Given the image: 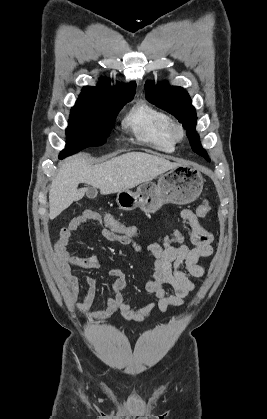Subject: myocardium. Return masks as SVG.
<instances>
[{"label":"myocardium","mask_w":267,"mask_h":419,"mask_svg":"<svg viewBox=\"0 0 267 419\" xmlns=\"http://www.w3.org/2000/svg\"><path fill=\"white\" fill-rule=\"evenodd\" d=\"M168 135L175 143L182 141L185 137V129L182 123L176 119H170Z\"/></svg>","instance_id":"myocardium-1"}]
</instances>
